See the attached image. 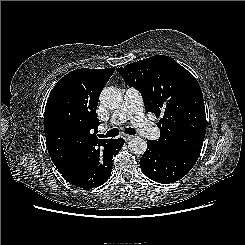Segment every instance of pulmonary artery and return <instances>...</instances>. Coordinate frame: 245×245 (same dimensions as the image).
Returning <instances> with one entry per match:
<instances>
[{
	"label": "pulmonary artery",
	"mask_w": 245,
	"mask_h": 245,
	"mask_svg": "<svg viewBox=\"0 0 245 245\" xmlns=\"http://www.w3.org/2000/svg\"><path fill=\"white\" fill-rule=\"evenodd\" d=\"M131 120L138 132L146 139H157L158 129L149 122L143 111V98L141 93L134 88L125 91L121 106L114 112L111 118V125L117 126ZM106 126L103 127L105 129Z\"/></svg>",
	"instance_id": "obj_1"
}]
</instances>
